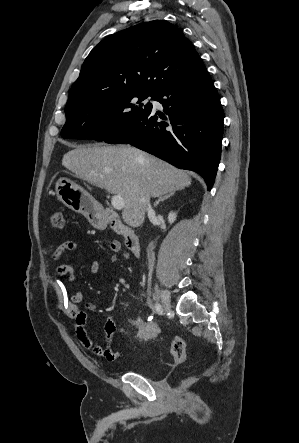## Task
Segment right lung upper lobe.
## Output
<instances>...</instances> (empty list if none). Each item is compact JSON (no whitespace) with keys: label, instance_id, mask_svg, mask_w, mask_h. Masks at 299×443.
Listing matches in <instances>:
<instances>
[{"label":"right lung upper lobe","instance_id":"cb5924a9","mask_svg":"<svg viewBox=\"0 0 299 443\" xmlns=\"http://www.w3.org/2000/svg\"><path fill=\"white\" fill-rule=\"evenodd\" d=\"M204 68L178 27L164 20L141 23L106 37L93 48L67 104L118 92L154 94Z\"/></svg>","mask_w":299,"mask_h":443}]
</instances>
